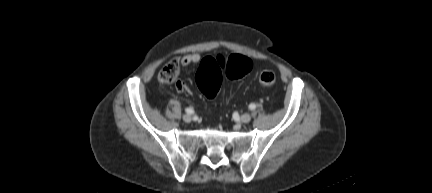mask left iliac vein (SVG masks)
Returning a JSON list of instances; mask_svg holds the SVG:
<instances>
[{
  "instance_id": "4c4485c4",
  "label": "left iliac vein",
  "mask_w": 432,
  "mask_h": 193,
  "mask_svg": "<svg viewBox=\"0 0 432 193\" xmlns=\"http://www.w3.org/2000/svg\"><path fill=\"white\" fill-rule=\"evenodd\" d=\"M240 119H241L242 123H248V122L251 121V115L248 114V113H244V114L241 115Z\"/></svg>"
}]
</instances>
